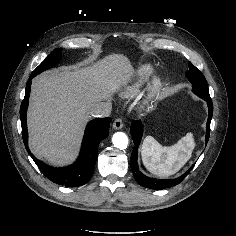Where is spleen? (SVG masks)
I'll use <instances>...</instances> for the list:
<instances>
[{
  "label": "spleen",
  "mask_w": 236,
  "mask_h": 236,
  "mask_svg": "<svg viewBox=\"0 0 236 236\" xmlns=\"http://www.w3.org/2000/svg\"><path fill=\"white\" fill-rule=\"evenodd\" d=\"M194 147L192 133H187L170 147L162 146L152 136H146L141 147L142 161L152 174L167 177L175 174L185 165Z\"/></svg>",
  "instance_id": "obj_1"
}]
</instances>
